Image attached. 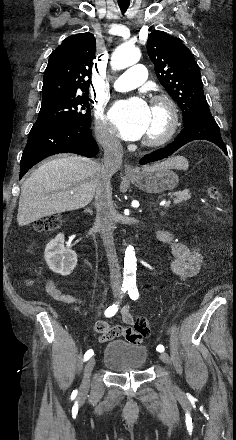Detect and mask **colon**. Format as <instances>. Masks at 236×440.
Masks as SVG:
<instances>
[{
	"mask_svg": "<svg viewBox=\"0 0 236 440\" xmlns=\"http://www.w3.org/2000/svg\"><path fill=\"white\" fill-rule=\"evenodd\" d=\"M207 191H208L209 196L213 200L218 201L220 199L221 193L217 187L211 185L208 187ZM60 225H61L60 217L50 216L44 220H40V221L36 222L35 229L39 232H48V231H54V230L58 229ZM134 330H138L140 333V336L138 339H129V341H131V342H136L138 340L141 341L150 332L148 320L143 317H138L136 319L135 324H134Z\"/></svg>",
	"mask_w": 236,
	"mask_h": 440,
	"instance_id": "obj_1",
	"label": "colon"
}]
</instances>
